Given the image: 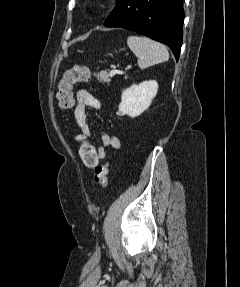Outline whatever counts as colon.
<instances>
[{
    "label": "colon",
    "instance_id": "1",
    "mask_svg": "<svg viewBox=\"0 0 240 287\" xmlns=\"http://www.w3.org/2000/svg\"><path fill=\"white\" fill-rule=\"evenodd\" d=\"M91 72L85 66H74L66 70L58 83L57 100L59 106L69 110L74 104L73 87L79 82H88ZM79 144V154L84 166L92 171L93 182L99 184L102 189L108 187L109 164H100L96 146L89 143L87 137L79 133L75 137Z\"/></svg>",
    "mask_w": 240,
    "mask_h": 287
}]
</instances>
